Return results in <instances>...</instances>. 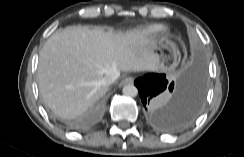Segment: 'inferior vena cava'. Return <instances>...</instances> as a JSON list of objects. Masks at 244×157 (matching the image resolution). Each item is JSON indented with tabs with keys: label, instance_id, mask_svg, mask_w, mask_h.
I'll return each mask as SVG.
<instances>
[{
	"label": "inferior vena cava",
	"instance_id": "inferior-vena-cava-1",
	"mask_svg": "<svg viewBox=\"0 0 244 157\" xmlns=\"http://www.w3.org/2000/svg\"><path fill=\"white\" fill-rule=\"evenodd\" d=\"M120 76V72L117 70L110 71L103 79V84L104 85H111L113 84Z\"/></svg>",
	"mask_w": 244,
	"mask_h": 157
}]
</instances>
